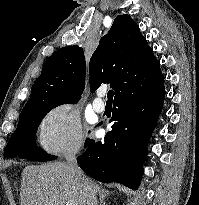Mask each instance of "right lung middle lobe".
Segmentation results:
<instances>
[{"label": "right lung middle lobe", "instance_id": "1", "mask_svg": "<svg viewBox=\"0 0 199 205\" xmlns=\"http://www.w3.org/2000/svg\"><path fill=\"white\" fill-rule=\"evenodd\" d=\"M67 103L62 101H33L27 103L20 114L17 129L5 147L4 157L19 156L20 158L35 161H51L56 159V156H51L37 147L34 138L38 126L46 114L51 109Z\"/></svg>", "mask_w": 199, "mask_h": 205}]
</instances>
